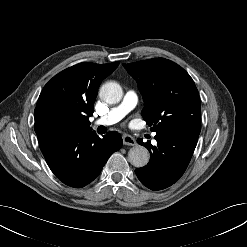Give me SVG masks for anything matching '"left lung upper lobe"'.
<instances>
[{
  "label": "left lung upper lobe",
  "instance_id": "obj_1",
  "mask_svg": "<svg viewBox=\"0 0 247 247\" xmlns=\"http://www.w3.org/2000/svg\"><path fill=\"white\" fill-rule=\"evenodd\" d=\"M137 81L144 98L143 119L156 134L173 126L188 133L201 131L198 90L190 75L176 63L154 58L123 64Z\"/></svg>",
  "mask_w": 247,
  "mask_h": 247
}]
</instances>
